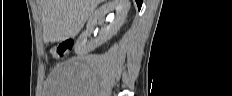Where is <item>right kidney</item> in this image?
Wrapping results in <instances>:
<instances>
[{
  "instance_id": "right-kidney-1",
  "label": "right kidney",
  "mask_w": 232,
  "mask_h": 96,
  "mask_svg": "<svg viewBox=\"0 0 232 96\" xmlns=\"http://www.w3.org/2000/svg\"><path fill=\"white\" fill-rule=\"evenodd\" d=\"M129 9V0H110L94 11L88 20L86 30L79 36L75 44L76 53L79 56H85L90 51H93L95 48L111 39L124 23ZM113 11L116 13H111ZM107 14L110 19V24L101 29L99 36L95 40L87 42V37L91 35L97 21L104 19Z\"/></svg>"
}]
</instances>
